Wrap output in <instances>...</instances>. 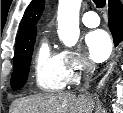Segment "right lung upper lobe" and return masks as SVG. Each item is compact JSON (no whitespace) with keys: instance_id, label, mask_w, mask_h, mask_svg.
<instances>
[{"instance_id":"right-lung-upper-lobe-1","label":"right lung upper lobe","mask_w":123,"mask_h":113,"mask_svg":"<svg viewBox=\"0 0 123 113\" xmlns=\"http://www.w3.org/2000/svg\"><path fill=\"white\" fill-rule=\"evenodd\" d=\"M45 0H32L26 9L19 27L16 47L36 36V24L44 10Z\"/></svg>"}]
</instances>
